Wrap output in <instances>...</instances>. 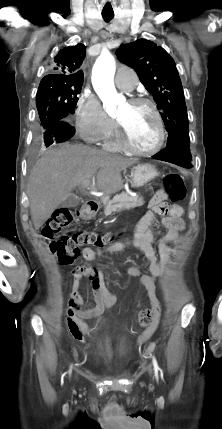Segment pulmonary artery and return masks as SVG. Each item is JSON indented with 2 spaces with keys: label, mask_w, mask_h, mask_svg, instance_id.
I'll list each match as a JSON object with an SVG mask.
<instances>
[{
  "label": "pulmonary artery",
  "mask_w": 222,
  "mask_h": 429,
  "mask_svg": "<svg viewBox=\"0 0 222 429\" xmlns=\"http://www.w3.org/2000/svg\"><path fill=\"white\" fill-rule=\"evenodd\" d=\"M116 86L126 92L132 91L137 85L135 72L127 67L118 69L115 76Z\"/></svg>",
  "instance_id": "pulmonary-artery-1"
}]
</instances>
